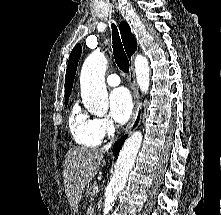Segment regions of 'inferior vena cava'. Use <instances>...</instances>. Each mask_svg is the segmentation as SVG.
<instances>
[{
  "instance_id": "obj_1",
  "label": "inferior vena cava",
  "mask_w": 221,
  "mask_h": 215,
  "mask_svg": "<svg viewBox=\"0 0 221 215\" xmlns=\"http://www.w3.org/2000/svg\"><path fill=\"white\" fill-rule=\"evenodd\" d=\"M111 145H112V141H111L110 143H108L106 146H104V147L102 148V150H103V151H107V150L111 147Z\"/></svg>"
}]
</instances>
